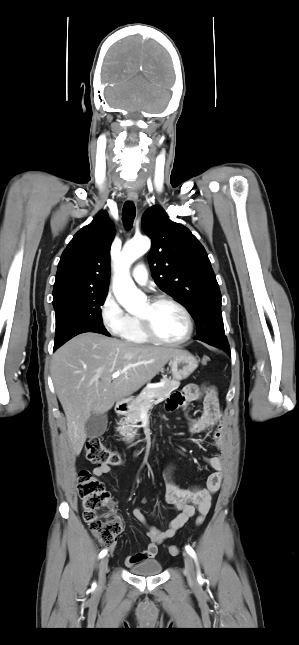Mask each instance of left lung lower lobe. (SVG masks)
I'll return each instance as SVG.
<instances>
[{
  "label": "left lung lower lobe",
  "instance_id": "0a47b994",
  "mask_svg": "<svg viewBox=\"0 0 299 645\" xmlns=\"http://www.w3.org/2000/svg\"><path fill=\"white\" fill-rule=\"evenodd\" d=\"M218 347H221L222 349H224L225 351H227L230 354L228 341H226L224 343H221Z\"/></svg>",
  "mask_w": 299,
  "mask_h": 645
}]
</instances>
